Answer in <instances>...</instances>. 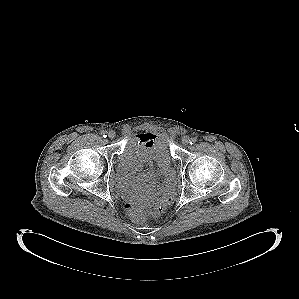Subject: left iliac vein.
Instances as JSON below:
<instances>
[{"label": "left iliac vein", "mask_w": 299, "mask_h": 299, "mask_svg": "<svg viewBox=\"0 0 299 299\" xmlns=\"http://www.w3.org/2000/svg\"><path fill=\"white\" fill-rule=\"evenodd\" d=\"M182 144L185 145V146L189 145L190 144V138L188 136H184L182 138Z\"/></svg>", "instance_id": "4c4485c4"}]
</instances>
